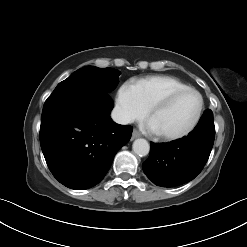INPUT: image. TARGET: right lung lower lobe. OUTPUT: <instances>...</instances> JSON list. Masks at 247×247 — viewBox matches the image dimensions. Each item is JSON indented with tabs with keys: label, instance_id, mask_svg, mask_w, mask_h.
Listing matches in <instances>:
<instances>
[{
	"label": "right lung lower lobe",
	"instance_id": "1",
	"mask_svg": "<svg viewBox=\"0 0 247 247\" xmlns=\"http://www.w3.org/2000/svg\"><path fill=\"white\" fill-rule=\"evenodd\" d=\"M113 102L105 92L72 91L45 102L40 144L53 176L71 189H87L108 172L132 127L112 121Z\"/></svg>",
	"mask_w": 247,
	"mask_h": 247
}]
</instances>
